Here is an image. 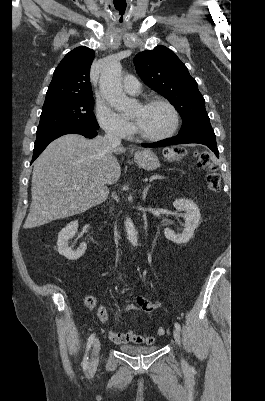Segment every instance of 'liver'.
Segmentation results:
<instances>
[{"label":"liver","mask_w":265,"mask_h":401,"mask_svg":"<svg viewBox=\"0 0 265 401\" xmlns=\"http://www.w3.org/2000/svg\"><path fill=\"white\" fill-rule=\"evenodd\" d=\"M125 146H112L104 136L93 140L81 134H64L48 144L33 166L32 203L24 229L41 227L55 219L85 213L103 203L108 188L121 176L114 156ZM74 184L82 186L80 190Z\"/></svg>","instance_id":"obj_1"}]
</instances>
